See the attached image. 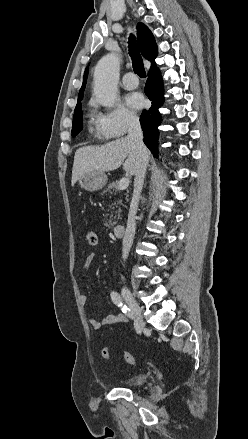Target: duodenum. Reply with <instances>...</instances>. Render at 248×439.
<instances>
[{"instance_id": "duodenum-1", "label": "duodenum", "mask_w": 248, "mask_h": 439, "mask_svg": "<svg viewBox=\"0 0 248 439\" xmlns=\"http://www.w3.org/2000/svg\"><path fill=\"white\" fill-rule=\"evenodd\" d=\"M125 232V224L124 223H117L113 227V233L116 236H122Z\"/></svg>"}]
</instances>
